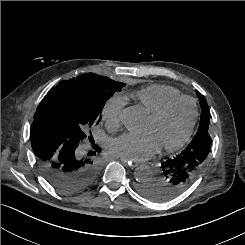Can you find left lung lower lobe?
<instances>
[{"label": "left lung lower lobe", "instance_id": "0a47b994", "mask_svg": "<svg viewBox=\"0 0 245 245\" xmlns=\"http://www.w3.org/2000/svg\"><path fill=\"white\" fill-rule=\"evenodd\" d=\"M209 134L194 137L181 153L161 164L160 173L144 182L139 191L156 202L169 201L183 193L202 171L210 152Z\"/></svg>", "mask_w": 245, "mask_h": 245}]
</instances>
